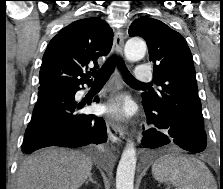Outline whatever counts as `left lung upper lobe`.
Here are the masks:
<instances>
[{
    "mask_svg": "<svg viewBox=\"0 0 223 189\" xmlns=\"http://www.w3.org/2000/svg\"><path fill=\"white\" fill-rule=\"evenodd\" d=\"M129 35L147 42L154 82L160 86L156 92L142 93V103L165 114L170 122L204 129L192 54L184 37L148 17L135 20Z\"/></svg>",
    "mask_w": 223,
    "mask_h": 189,
    "instance_id": "1",
    "label": "left lung upper lobe"
}]
</instances>
